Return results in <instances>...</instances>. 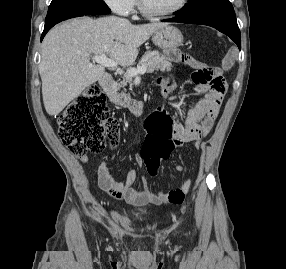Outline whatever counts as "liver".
Returning a JSON list of instances; mask_svg holds the SVG:
<instances>
[{
    "label": "liver",
    "instance_id": "obj_1",
    "mask_svg": "<svg viewBox=\"0 0 286 269\" xmlns=\"http://www.w3.org/2000/svg\"><path fill=\"white\" fill-rule=\"evenodd\" d=\"M165 26L162 22L133 25L114 16L75 18L55 26L43 40L39 65L47 113L59 114L104 75V66L90 62L91 54L106 53L121 66L132 65L138 48Z\"/></svg>",
    "mask_w": 286,
    "mask_h": 269
}]
</instances>
